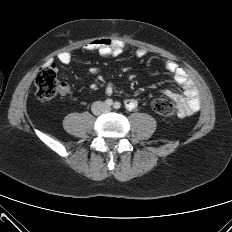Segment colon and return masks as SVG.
Wrapping results in <instances>:
<instances>
[{"label": "colon", "mask_w": 232, "mask_h": 232, "mask_svg": "<svg viewBox=\"0 0 232 232\" xmlns=\"http://www.w3.org/2000/svg\"><path fill=\"white\" fill-rule=\"evenodd\" d=\"M35 86L36 95L41 100L50 99L62 90V85L52 66H44L39 69L35 77ZM151 107L155 113L164 117H172L176 113L175 103L164 97L154 98Z\"/></svg>", "instance_id": "1"}]
</instances>
